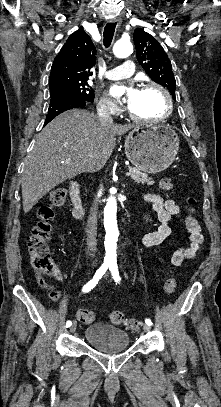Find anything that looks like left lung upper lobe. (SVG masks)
Instances as JSON below:
<instances>
[{
  "label": "left lung upper lobe",
  "mask_w": 221,
  "mask_h": 407,
  "mask_svg": "<svg viewBox=\"0 0 221 407\" xmlns=\"http://www.w3.org/2000/svg\"><path fill=\"white\" fill-rule=\"evenodd\" d=\"M133 36L138 62L149 77L166 87L176 100V82L172 73V65L160 43L143 29H135Z\"/></svg>",
  "instance_id": "5c2ea615"
}]
</instances>
